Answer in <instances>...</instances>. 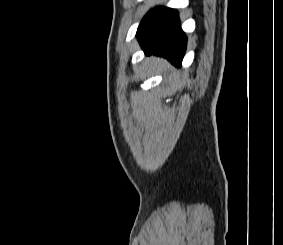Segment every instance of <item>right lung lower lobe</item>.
<instances>
[{"mask_svg":"<svg viewBox=\"0 0 283 245\" xmlns=\"http://www.w3.org/2000/svg\"><path fill=\"white\" fill-rule=\"evenodd\" d=\"M136 36L147 55L157 54L180 66L186 49V36L175 9L159 7L141 21Z\"/></svg>","mask_w":283,"mask_h":245,"instance_id":"98d812e1","label":"right lung lower lobe"}]
</instances>
